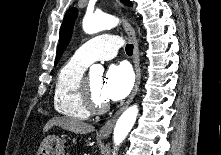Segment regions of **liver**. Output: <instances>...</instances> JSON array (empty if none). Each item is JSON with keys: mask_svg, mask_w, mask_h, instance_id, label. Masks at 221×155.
Returning a JSON list of instances; mask_svg holds the SVG:
<instances>
[{"mask_svg": "<svg viewBox=\"0 0 221 155\" xmlns=\"http://www.w3.org/2000/svg\"><path fill=\"white\" fill-rule=\"evenodd\" d=\"M53 126H59L76 134H88L95 130L91 124L68 117H54L50 119L43 128V133L47 132Z\"/></svg>", "mask_w": 221, "mask_h": 155, "instance_id": "6515ba94", "label": "liver"}]
</instances>
